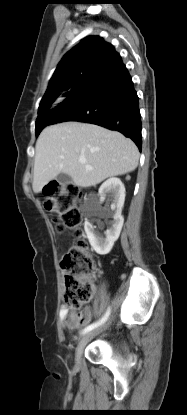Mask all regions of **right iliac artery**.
<instances>
[{"label":"right iliac artery","mask_w":187,"mask_h":415,"mask_svg":"<svg viewBox=\"0 0 187 415\" xmlns=\"http://www.w3.org/2000/svg\"><path fill=\"white\" fill-rule=\"evenodd\" d=\"M109 314H110V309L108 308V310L106 311L105 315L102 317L101 320H99L98 322L92 323V324L88 325L87 327H85L81 334L83 335V334L93 330L94 328L100 326L101 324H103L107 320Z\"/></svg>","instance_id":"right-iliac-artery-1"}]
</instances>
